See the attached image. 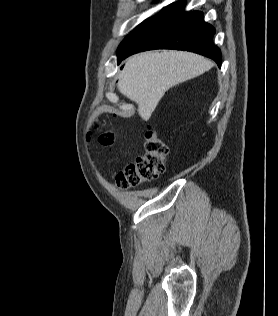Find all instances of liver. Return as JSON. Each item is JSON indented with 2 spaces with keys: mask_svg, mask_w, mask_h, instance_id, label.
Segmentation results:
<instances>
[{
  "mask_svg": "<svg viewBox=\"0 0 278 316\" xmlns=\"http://www.w3.org/2000/svg\"><path fill=\"white\" fill-rule=\"evenodd\" d=\"M213 66L208 59L190 52H145L127 59L118 78V90L138 105L147 121L171 87L197 77Z\"/></svg>",
  "mask_w": 278,
  "mask_h": 316,
  "instance_id": "obj_1",
  "label": "liver"
}]
</instances>
